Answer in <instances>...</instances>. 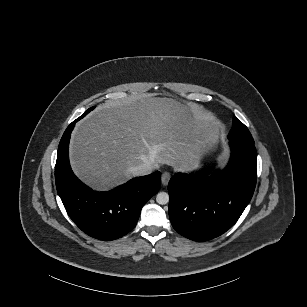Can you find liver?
Listing matches in <instances>:
<instances>
[{
    "label": "liver",
    "mask_w": 307,
    "mask_h": 307,
    "mask_svg": "<svg viewBox=\"0 0 307 307\" xmlns=\"http://www.w3.org/2000/svg\"><path fill=\"white\" fill-rule=\"evenodd\" d=\"M196 104L191 111L198 110ZM74 173L96 190L130 180V167L167 164L188 171L199 164L198 131L188 106L151 94L107 100L77 124L71 141Z\"/></svg>",
    "instance_id": "obj_1"
}]
</instances>
